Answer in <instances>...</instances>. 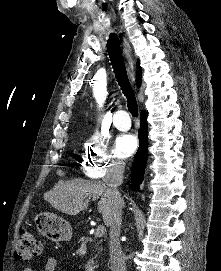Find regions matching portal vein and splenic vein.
Segmentation results:
<instances>
[{
  "label": "portal vein and splenic vein",
  "instance_id": "portal-vein-and-splenic-vein-1",
  "mask_svg": "<svg viewBox=\"0 0 221 271\" xmlns=\"http://www.w3.org/2000/svg\"><path fill=\"white\" fill-rule=\"evenodd\" d=\"M95 232L97 234V238H102V234L104 233V227L102 225L98 226Z\"/></svg>",
  "mask_w": 221,
  "mask_h": 271
}]
</instances>
